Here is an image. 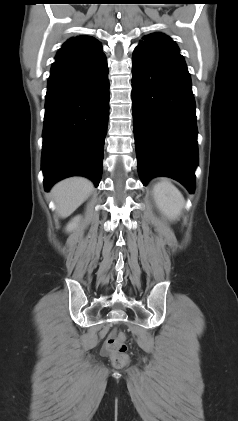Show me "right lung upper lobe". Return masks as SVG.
Masks as SVG:
<instances>
[{"instance_id": "cb5924a9", "label": "right lung upper lobe", "mask_w": 238, "mask_h": 421, "mask_svg": "<svg viewBox=\"0 0 238 421\" xmlns=\"http://www.w3.org/2000/svg\"><path fill=\"white\" fill-rule=\"evenodd\" d=\"M103 55L101 44L90 36H77L67 40L58 51L55 59H70Z\"/></svg>"}]
</instances>
